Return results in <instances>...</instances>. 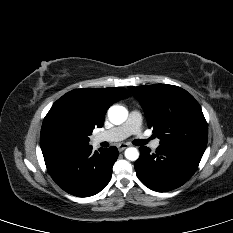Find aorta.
<instances>
[{
    "label": "aorta",
    "mask_w": 233,
    "mask_h": 233,
    "mask_svg": "<svg viewBox=\"0 0 233 233\" xmlns=\"http://www.w3.org/2000/svg\"><path fill=\"white\" fill-rule=\"evenodd\" d=\"M109 120L116 125H120L126 121L128 111L120 105H113L108 110ZM125 157L130 161H136L139 158V152L134 147H129L125 150Z\"/></svg>",
    "instance_id": "762f6f07"
}]
</instances>
